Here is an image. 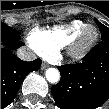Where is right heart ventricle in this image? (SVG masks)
Returning a JSON list of instances; mask_svg holds the SVG:
<instances>
[{"label":"right heart ventricle","instance_id":"1","mask_svg":"<svg viewBox=\"0 0 109 109\" xmlns=\"http://www.w3.org/2000/svg\"><path fill=\"white\" fill-rule=\"evenodd\" d=\"M80 20H74L66 25L50 29H34L28 35V41L33 42L45 58L54 57L62 48L68 47L76 34L86 27Z\"/></svg>","mask_w":109,"mask_h":109}]
</instances>
